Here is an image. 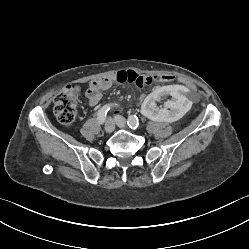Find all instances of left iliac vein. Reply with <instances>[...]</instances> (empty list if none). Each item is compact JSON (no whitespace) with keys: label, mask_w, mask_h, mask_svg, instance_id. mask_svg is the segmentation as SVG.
I'll use <instances>...</instances> for the list:
<instances>
[{"label":"left iliac vein","mask_w":249,"mask_h":249,"mask_svg":"<svg viewBox=\"0 0 249 249\" xmlns=\"http://www.w3.org/2000/svg\"><path fill=\"white\" fill-rule=\"evenodd\" d=\"M115 122H116L118 127L123 128V129L126 128V121L122 116L116 115Z\"/></svg>","instance_id":"1"}]
</instances>
